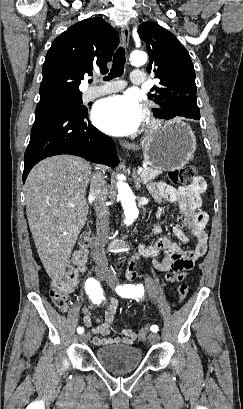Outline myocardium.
Here are the masks:
<instances>
[{"mask_svg":"<svg viewBox=\"0 0 243 409\" xmlns=\"http://www.w3.org/2000/svg\"><path fill=\"white\" fill-rule=\"evenodd\" d=\"M145 127L147 130H154L158 127V121L153 116L152 111L148 108L145 112Z\"/></svg>","mask_w":243,"mask_h":409,"instance_id":"1","label":"myocardium"}]
</instances>
